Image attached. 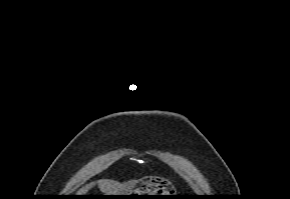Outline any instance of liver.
I'll list each match as a JSON object with an SVG mask.
<instances>
[{"label": "liver", "instance_id": "6515ba94", "mask_svg": "<svg viewBox=\"0 0 290 199\" xmlns=\"http://www.w3.org/2000/svg\"><path fill=\"white\" fill-rule=\"evenodd\" d=\"M99 188L101 192L106 193L105 195H114V194H120L124 190L129 189V186L121 185L115 181L112 180H99L98 181ZM94 186V183H89L85 186H83L79 191L78 195H84L87 193L92 187ZM132 186V185H130Z\"/></svg>", "mask_w": 290, "mask_h": 199}]
</instances>
